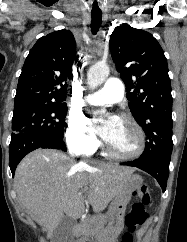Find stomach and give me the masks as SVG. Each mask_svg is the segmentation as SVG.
Masks as SVG:
<instances>
[{"instance_id":"0dacf381","label":"stomach","mask_w":187,"mask_h":242,"mask_svg":"<svg viewBox=\"0 0 187 242\" xmlns=\"http://www.w3.org/2000/svg\"><path fill=\"white\" fill-rule=\"evenodd\" d=\"M143 183L141 176L131 174L127 186L120 194L113 198L106 215L107 225L96 233V242H115L124 228V217L127 204L135 191Z\"/></svg>"}]
</instances>
